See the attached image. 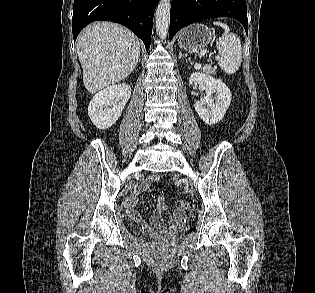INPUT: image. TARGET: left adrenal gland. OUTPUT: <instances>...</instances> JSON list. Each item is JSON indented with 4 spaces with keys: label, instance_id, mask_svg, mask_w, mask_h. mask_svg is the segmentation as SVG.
<instances>
[{
    "label": "left adrenal gland",
    "instance_id": "left-adrenal-gland-1",
    "mask_svg": "<svg viewBox=\"0 0 315 293\" xmlns=\"http://www.w3.org/2000/svg\"><path fill=\"white\" fill-rule=\"evenodd\" d=\"M179 58H180V59H181V58H185V59H186V56L182 55V53L179 52Z\"/></svg>",
    "mask_w": 315,
    "mask_h": 293
}]
</instances>
